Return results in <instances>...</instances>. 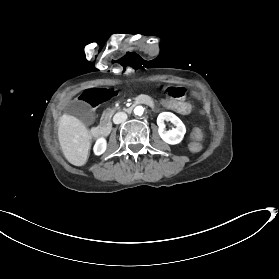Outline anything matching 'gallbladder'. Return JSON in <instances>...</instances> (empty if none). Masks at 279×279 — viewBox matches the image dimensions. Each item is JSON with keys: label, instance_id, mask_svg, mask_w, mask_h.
<instances>
[{"label": "gallbladder", "instance_id": "1", "mask_svg": "<svg viewBox=\"0 0 279 279\" xmlns=\"http://www.w3.org/2000/svg\"><path fill=\"white\" fill-rule=\"evenodd\" d=\"M62 113L64 115H69L71 113L77 115L80 113L84 124L88 126L95 124L97 120L95 113L89 109V105L87 103H81L77 100H74L70 102L69 105H66L62 110Z\"/></svg>", "mask_w": 279, "mask_h": 279}]
</instances>
